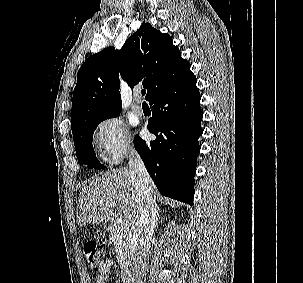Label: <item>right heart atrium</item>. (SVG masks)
<instances>
[{
  "instance_id": "1",
  "label": "right heart atrium",
  "mask_w": 303,
  "mask_h": 283,
  "mask_svg": "<svg viewBox=\"0 0 303 283\" xmlns=\"http://www.w3.org/2000/svg\"><path fill=\"white\" fill-rule=\"evenodd\" d=\"M94 140L109 164L119 163L134 149L127 126L117 117L101 120L94 129Z\"/></svg>"
}]
</instances>
